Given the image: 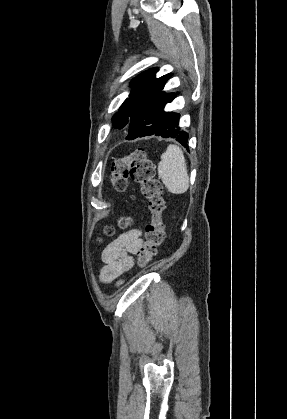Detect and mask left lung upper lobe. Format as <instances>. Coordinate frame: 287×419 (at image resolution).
Returning <instances> with one entry per match:
<instances>
[{"label": "left lung upper lobe", "instance_id": "left-lung-upper-lobe-1", "mask_svg": "<svg viewBox=\"0 0 287 419\" xmlns=\"http://www.w3.org/2000/svg\"><path fill=\"white\" fill-rule=\"evenodd\" d=\"M157 71L158 68L150 69L132 80L130 83L132 90L129 98L123 102L119 111L112 117L115 128L128 127L133 113L146 101L161 93L171 74L155 78Z\"/></svg>", "mask_w": 287, "mask_h": 419}]
</instances>
